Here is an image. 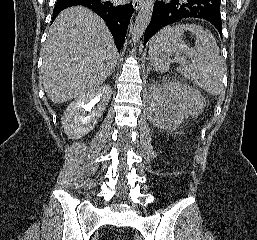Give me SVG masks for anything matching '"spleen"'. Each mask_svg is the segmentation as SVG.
I'll return each mask as SVG.
<instances>
[{
  "mask_svg": "<svg viewBox=\"0 0 257 240\" xmlns=\"http://www.w3.org/2000/svg\"><path fill=\"white\" fill-rule=\"evenodd\" d=\"M185 31H190L196 36L194 47H190L182 40ZM149 48L151 63L157 71L168 72L169 56L182 53L191 59L192 63H184L177 68L181 75L209 94L218 95L223 91L225 62L219 55V47L214 36L202 26L180 24L165 27L152 38Z\"/></svg>",
  "mask_w": 257,
  "mask_h": 240,
  "instance_id": "1",
  "label": "spleen"
}]
</instances>
